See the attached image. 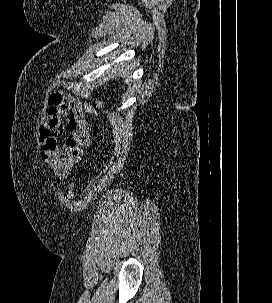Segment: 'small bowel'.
<instances>
[{
	"mask_svg": "<svg viewBox=\"0 0 272 303\" xmlns=\"http://www.w3.org/2000/svg\"><path fill=\"white\" fill-rule=\"evenodd\" d=\"M38 138L41 160L56 177L67 178L91 142L81 100L62 93L51 94Z\"/></svg>",
	"mask_w": 272,
	"mask_h": 303,
	"instance_id": "obj_1",
	"label": "small bowel"
}]
</instances>
